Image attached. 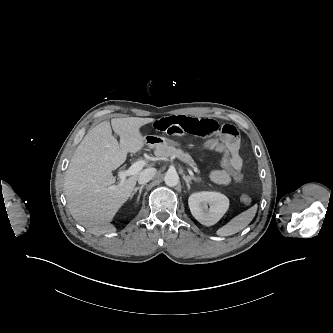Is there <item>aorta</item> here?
<instances>
[{
	"mask_svg": "<svg viewBox=\"0 0 333 333\" xmlns=\"http://www.w3.org/2000/svg\"><path fill=\"white\" fill-rule=\"evenodd\" d=\"M167 186L174 187L179 183V176L176 172L168 171L164 177Z\"/></svg>",
	"mask_w": 333,
	"mask_h": 333,
	"instance_id": "1",
	"label": "aorta"
}]
</instances>
